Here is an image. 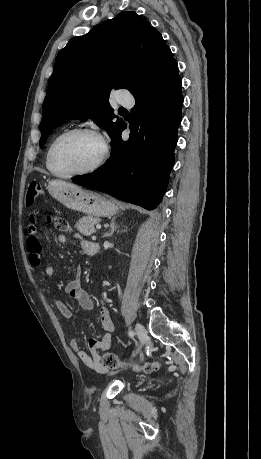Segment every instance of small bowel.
<instances>
[{
  "label": "small bowel",
  "instance_id": "1",
  "mask_svg": "<svg viewBox=\"0 0 261 459\" xmlns=\"http://www.w3.org/2000/svg\"><path fill=\"white\" fill-rule=\"evenodd\" d=\"M79 239L81 250L86 255H93L92 245L93 243L84 239H81L79 235H75ZM56 242L63 244L66 242V236L59 234L56 236ZM27 250L29 252V262L32 266H38L42 260V244L37 234L32 237H27L26 240ZM55 270L53 265L46 268L45 276L47 279L51 278ZM65 292L73 298L81 308L84 310H91L93 308V301L90 296L81 287V268L77 267L75 275L65 286ZM57 311L66 319L73 317L72 310L60 299L54 300ZM99 320L104 333L99 338H91L88 341L90 353L81 349L80 341L78 338H74L70 342L71 349L77 354L78 358L88 367L95 370H102L101 354L100 351H106L110 349L112 345V332L114 331V323L110 316V312L106 307H102L99 311Z\"/></svg>",
  "mask_w": 261,
  "mask_h": 459
}]
</instances>
